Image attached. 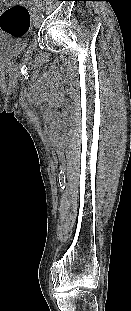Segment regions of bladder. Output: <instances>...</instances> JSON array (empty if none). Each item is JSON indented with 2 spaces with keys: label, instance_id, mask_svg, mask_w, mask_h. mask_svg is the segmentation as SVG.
Here are the masks:
<instances>
[{
  "label": "bladder",
  "instance_id": "31cf9c89",
  "mask_svg": "<svg viewBox=\"0 0 131 311\" xmlns=\"http://www.w3.org/2000/svg\"><path fill=\"white\" fill-rule=\"evenodd\" d=\"M26 48L25 42L6 41L0 38V58H13Z\"/></svg>",
  "mask_w": 131,
  "mask_h": 311
}]
</instances>
